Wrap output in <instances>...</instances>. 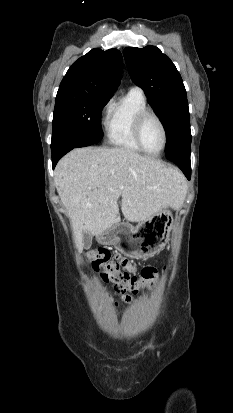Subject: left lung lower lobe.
<instances>
[{"label":"left lung lower lobe","instance_id":"left-lung-lower-lobe-1","mask_svg":"<svg viewBox=\"0 0 233 413\" xmlns=\"http://www.w3.org/2000/svg\"><path fill=\"white\" fill-rule=\"evenodd\" d=\"M185 174L188 180L191 177V164L190 158H173L171 159Z\"/></svg>","mask_w":233,"mask_h":413}]
</instances>
